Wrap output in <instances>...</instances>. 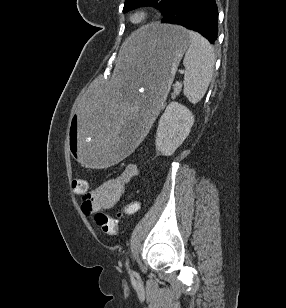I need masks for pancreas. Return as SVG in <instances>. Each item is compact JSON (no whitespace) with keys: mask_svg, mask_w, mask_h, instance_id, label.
<instances>
[{"mask_svg":"<svg viewBox=\"0 0 286 308\" xmlns=\"http://www.w3.org/2000/svg\"><path fill=\"white\" fill-rule=\"evenodd\" d=\"M180 90H181V87H180V86L176 87L175 90H174V92H173V94H172V96H171V98H172V99H175V98L179 95Z\"/></svg>","mask_w":286,"mask_h":308,"instance_id":"cf45deb5","label":"pancreas"}]
</instances>
